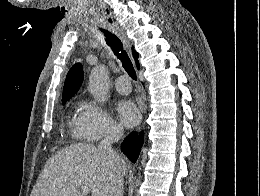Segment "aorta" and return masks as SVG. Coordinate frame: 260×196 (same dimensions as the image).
Instances as JSON below:
<instances>
[{
    "instance_id": "obj_1",
    "label": "aorta",
    "mask_w": 260,
    "mask_h": 196,
    "mask_svg": "<svg viewBox=\"0 0 260 196\" xmlns=\"http://www.w3.org/2000/svg\"><path fill=\"white\" fill-rule=\"evenodd\" d=\"M109 87L108 69L103 64L95 66L89 76V90L93 98L99 102L106 101Z\"/></svg>"
}]
</instances>
